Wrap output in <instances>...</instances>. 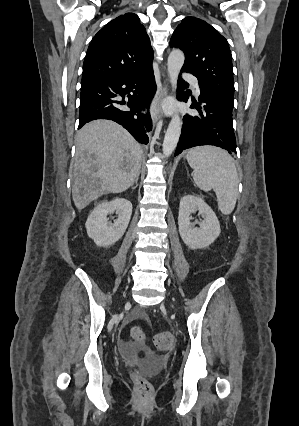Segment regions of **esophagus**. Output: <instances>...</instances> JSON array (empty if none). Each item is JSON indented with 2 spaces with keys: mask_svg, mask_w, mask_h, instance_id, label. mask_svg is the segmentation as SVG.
I'll use <instances>...</instances> for the list:
<instances>
[{
  "mask_svg": "<svg viewBox=\"0 0 299 426\" xmlns=\"http://www.w3.org/2000/svg\"><path fill=\"white\" fill-rule=\"evenodd\" d=\"M169 93V79L166 76L161 91H157L151 104V117L153 122L158 121L163 114L162 103Z\"/></svg>",
  "mask_w": 299,
  "mask_h": 426,
  "instance_id": "esophagus-1",
  "label": "esophagus"
}]
</instances>
